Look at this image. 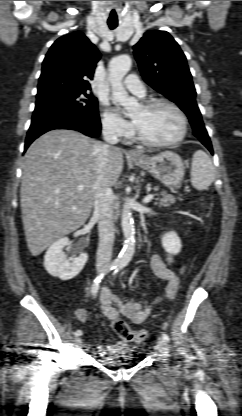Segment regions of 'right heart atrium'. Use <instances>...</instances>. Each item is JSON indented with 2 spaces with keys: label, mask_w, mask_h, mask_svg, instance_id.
I'll list each match as a JSON object with an SVG mask.
<instances>
[{
  "label": "right heart atrium",
  "mask_w": 242,
  "mask_h": 416,
  "mask_svg": "<svg viewBox=\"0 0 242 416\" xmlns=\"http://www.w3.org/2000/svg\"><path fill=\"white\" fill-rule=\"evenodd\" d=\"M102 127L108 135L114 137L126 138L130 136L128 124L109 109H105L102 114Z\"/></svg>",
  "instance_id": "obj_1"
}]
</instances>
